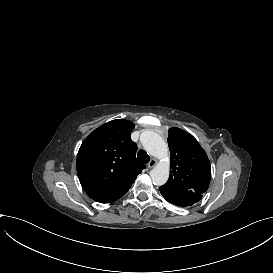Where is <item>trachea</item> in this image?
<instances>
[{"mask_svg": "<svg viewBox=\"0 0 273 273\" xmlns=\"http://www.w3.org/2000/svg\"><path fill=\"white\" fill-rule=\"evenodd\" d=\"M137 159L141 162V163H148L150 161V156L147 154L146 151L144 150H139V152L137 153Z\"/></svg>", "mask_w": 273, "mask_h": 273, "instance_id": "3493384b", "label": "trachea"}]
</instances>
